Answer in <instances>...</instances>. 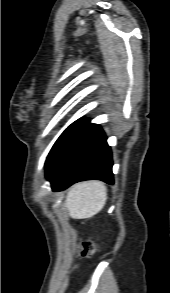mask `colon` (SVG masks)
Returning <instances> with one entry per match:
<instances>
[{
    "instance_id": "1",
    "label": "colon",
    "mask_w": 170,
    "mask_h": 293,
    "mask_svg": "<svg viewBox=\"0 0 170 293\" xmlns=\"http://www.w3.org/2000/svg\"><path fill=\"white\" fill-rule=\"evenodd\" d=\"M96 250V242L90 239H86L79 244L78 253L81 258L89 259L95 254Z\"/></svg>"
}]
</instances>
